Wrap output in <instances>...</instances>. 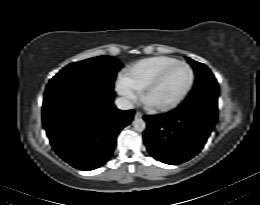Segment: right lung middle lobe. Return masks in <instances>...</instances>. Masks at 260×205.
<instances>
[{
	"mask_svg": "<svg viewBox=\"0 0 260 205\" xmlns=\"http://www.w3.org/2000/svg\"><path fill=\"white\" fill-rule=\"evenodd\" d=\"M121 67L122 64L116 58L99 56L67 65L51 80L87 79L113 86L116 73Z\"/></svg>",
	"mask_w": 260,
	"mask_h": 205,
	"instance_id": "right-lung-middle-lobe-1",
	"label": "right lung middle lobe"
}]
</instances>
